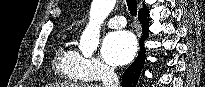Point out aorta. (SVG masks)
I'll list each match as a JSON object with an SVG mask.
<instances>
[{"label":"aorta","instance_id":"1","mask_svg":"<svg viewBox=\"0 0 205 87\" xmlns=\"http://www.w3.org/2000/svg\"><path fill=\"white\" fill-rule=\"evenodd\" d=\"M115 4L116 0H93L89 23L79 42V49L82 52L90 54L96 50L100 39L101 24L113 10Z\"/></svg>","mask_w":205,"mask_h":87}]
</instances>
